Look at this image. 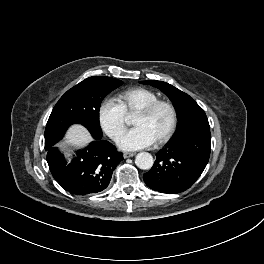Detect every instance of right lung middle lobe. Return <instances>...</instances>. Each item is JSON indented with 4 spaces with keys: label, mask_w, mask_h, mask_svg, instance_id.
<instances>
[{
    "label": "right lung middle lobe",
    "mask_w": 264,
    "mask_h": 264,
    "mask_svg": "<svg viewBox=\"0 0 264 264\" xmlns=\"http://www.w3.org/2000/svg\"><path fill=\"white\" fill-rule=\"evenodd\" d=\"M122 81L104 76L89 77L70 90L57 102L45 129V149L56 144L67 128L74 123L84 125L93 135L101 138L99 108L101 101Z\"/></svg>",
    "instance_id": "right-lung-middle-lobe-1"
}]
</instances>
